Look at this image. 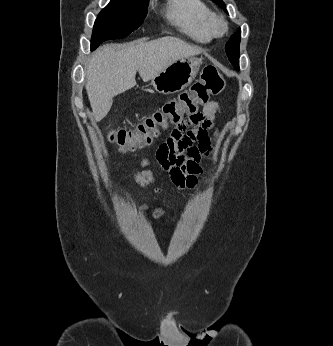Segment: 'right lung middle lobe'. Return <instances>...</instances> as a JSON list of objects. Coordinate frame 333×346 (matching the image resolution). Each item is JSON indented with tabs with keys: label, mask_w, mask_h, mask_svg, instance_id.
<instances>
[{
	"label": "right lung middle lobe",
	"mask_w": 333,
	"mask_h": 346,
	"mask_svg": "<svg viewBox=\"0 0 333 346\" xmlns=\"http://www.w3.org/2000/svg\"><path fill=\"white\" fill-rule=\"evenodd\" d=\"M148 0H111L99 13L93 28L91 49L109 39L128 36L143 23Z\"/></svg>",
	"instance_id": "right-lung-middle-lobe-1"
}]
</instances>
